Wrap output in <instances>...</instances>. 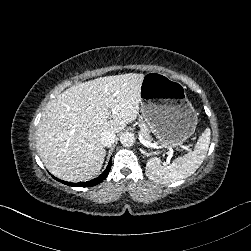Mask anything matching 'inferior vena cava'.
Returning <instances> with one entry per match:
<instances>
[{"instance_id":"inferior-vena-cava-1","label":"inferior vena cava","mask_w":251,"mask_h":251,"mask_svg":"<svg viewBox=\"0 0 251 251\" xmlns=\"http://www.w3.org/2000/svg\"><path fill=\"white\" fill-rule=\"evenodd\" d=\"M116 135L113 131L104 130L101 133V144L105 147H110L115 142Z\"/></svg>"}]
</instances>
